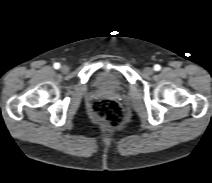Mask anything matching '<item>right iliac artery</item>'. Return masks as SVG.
<instances>
[{
    "instance_id": "right-iliac-artery-1",
    "label": "right iliac artery",
    "mask_w": 212,
    "mask_h": 183,
    "mask_svg": "<svg viewBox=\"0 0 212 183\" xmlns=\"http://www.w3.org/2000/svg\"><path fill=\"white\" fill-rule=\"evenodd\" d=\"M54 68H55V69H59V68H60V64H59V63H55V64H54Z\"/></svg>"
}]
</instances>
